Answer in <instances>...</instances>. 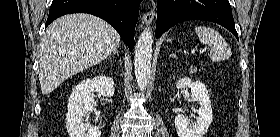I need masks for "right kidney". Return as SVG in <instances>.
<instances>
[{"label":"right kidney","mask_w":280,"mask_h":137,"mask_svg":"<svg viewBox=\"0 0 280 137\" xmlns=\"http://www.w3.org/2000/svg\"><path fill=\"white\" fill-rule=\"evenodd\" d=\"M97 91L103 97L114 95L113 79L106 76H97L86 79L76 85L68 102L66 127L70 137H100L101 131L97 126L84 123L83 117L94 109L92 95Z\"/></svg>","instance_id":"obj_1"}]
</instances>
